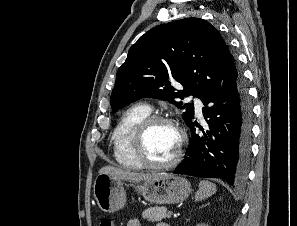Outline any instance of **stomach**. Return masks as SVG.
I'll list each match as a JSON object with an SVG mask.
<instances>
[{
  "instance_id": "1",
  "label": "stomach",
  "mask_w": 297,
  "mask_h": 226,
  "mask_svg": "<svg viewBox=\"0 0 297 226\" xmlns=\"http://www.w3.org/2000/svg\"><path fill=\"white\" fill-rule=\"evenodd\" d=\"M124 182L109 174H99L94 182V197L99 208L107 213L122 209L126 204ZM131 186L145 200L156 204H172L185 200L191 193V185L184 177L164 174L144 182H134Z\"/></svg>"
}]
</instances>
